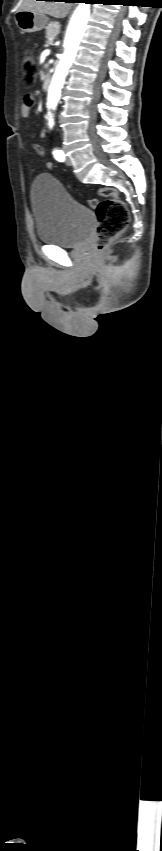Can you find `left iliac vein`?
<instances>
[{
	"mask_svg": "<svg viewBox=\"0 0 162 851\" xmlns=\"http://www.w3.org/2000/svg\"><path fill=\"white\" fill-rule=\"evenodd\" d=\"M65 163L70 166L72 164L71 159L69 157L65 158Z\"/></svg>",
	"mask_w": 162,
	"mask_h": 851,
	"instance_id": "1",
	"label": "left iliac vein"
}]
</instances>
